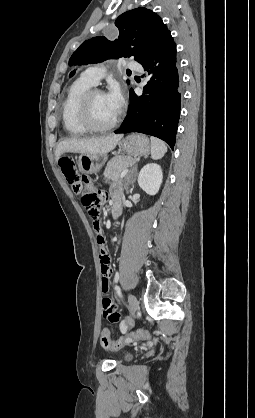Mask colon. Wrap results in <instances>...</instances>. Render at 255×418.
<instances>
[{"instance_id":"colon-1","label":"colon","mask_w":255,"mask_h":418,"mask_svg":"<svg viewBox=\"0 0 255 418\" xmlns=\"http://www.w3.org/2000/svg\"><path fill=\"white\" fill-rule=\"evenodd\" d=\"M60 167L73 192L81 197L86 212L92 220L93 227L96 230L97 238L104 237L100 230L98 214L99 206L104 200L105 194L102 192H95L89 179L79 175L74 162L70 158H62L60 161ZM148 336L149 333L147 331L138 330L121 336L117 340H111L108 331L104 330L101 335V344L105 349L115 351L134 342L135 340L144 339Z\"/></svg>"}]
</instances>
